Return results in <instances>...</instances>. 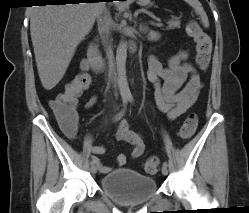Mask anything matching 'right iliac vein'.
Returning a JSON list of instances; mask_svg holds the SVG:
<instances>
[{
    "label": "right iliac vein",
    "instance_id": "obj_1",
    "mask_svg": "<svg viewBox=\"0 0 249 213\" xmlns=\"http://www.w3.org/2000/svg\"><path fill=\"white\" fill-rule=\"evenodd\" d=\"M90 171L92 174H95L97 172V166L96 165H91Z\"/></svg>",
    "mask_w": 249,
    "mask_h": 213
}]
</instances>
